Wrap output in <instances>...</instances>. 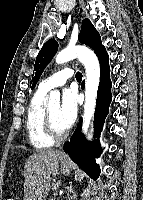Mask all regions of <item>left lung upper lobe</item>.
<instances>
[{
  "label": "left lung upper lobe",
  "instance_id": "1",
  "mask_svg": "<svg viewBox=\"0 0 143 200\" xmlns=\"http://www.w3.org/2000/svg\"><path fill=\"white\" fill-rule=\"evenodd\" d=\"M79 41L93 48L95 52L102 47L100 35L91 24L89 19H85L82 21ZM57 49L58 43L54 39L48 40L41 48L34 65L35 83L33 84L32 89L34 88L36 82L39 80L45 67L55 55Z\"/></svg>",
  "mask_w": 143,
  "mask_h": 200
}]
</instances>
